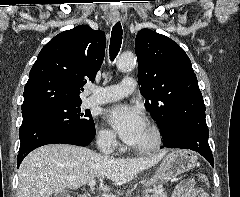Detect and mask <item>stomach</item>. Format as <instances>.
<instances>
[{
  "label": "stomach",
  "instance_id": "0dacf381",
  "mask_svg": "<svg viewBox=\"0 0 240 197\" xmlns=\"http://www.w3.org/2000/svg\"><path fill=\"white\" fill-rule=\"evenodd\" d=\"M196 165L197 156L192 151H172L164 158L155 175L147 180L144 185L150 186L167 182L171 178L193 169Z\"/></svg>",
  "mask_w": 240,
  "mask_h": 197
}]
</instances>
